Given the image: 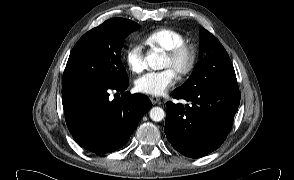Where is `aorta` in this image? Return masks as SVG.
<instances>
[{
    "mask_svg": "<svg viewBox=\"0 0 294 180\" xmlns=\"http://www.w3.org/2000/svg\"><path fill=\"white\" fill-rule=\"evenodd\" d=\"M146 64L153 70H160L164 68V59L163 57L156 51H150L145 57ZM165 117V112L160 107H153L150 110V118L159 122L162 121Z\"/></svg>",
    "mask_w": 294,
    "mask_h": 180,
    "instance_id": "762f6f07",
    "label": "aorta"
}]
</instances>
